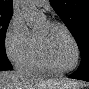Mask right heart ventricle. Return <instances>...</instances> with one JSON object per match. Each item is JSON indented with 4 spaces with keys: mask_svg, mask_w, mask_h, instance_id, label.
Segmentation results:
<instances>
[{
    "mask_svg": "<svg viewBox=\"0 0 89 89\" xmlns=\"http://www.w3.org/2000/svg\"><path fill=\"white\" fill-rule=\"evenodd\" d=\"M18 66L29 74L34 75H56L43 62L38 51L37 41L33 33V45L30 52L21 60Z\"/></svg>",
    "mask_w": 89,
    "mask_h": 89,
    "instance_id": "e07e8e85",
    "label": "right heart ventricle"
}]
</instances>
